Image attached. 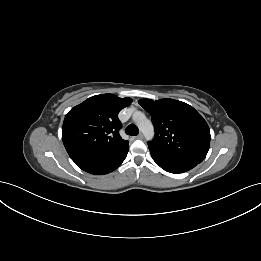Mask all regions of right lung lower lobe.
I'll list each match as a JSON object with an SVG mask.
<instances>
[{"mask_svg": "<svg viewBox=\"0 0 261 261\" xmlns=\"http://www.w3.org/2000/svg\"><path fill=\"white\" fill-rule=\"evenodd\" d=\"M129 148L114 154H87L72 158L82 170L94 174H107L117 169L126 158Z\"/></svg>", "mask_w": 261, "mask_h": 261, "instance_id": "1", "label": "right lung lower lobe"}]
</instances>
